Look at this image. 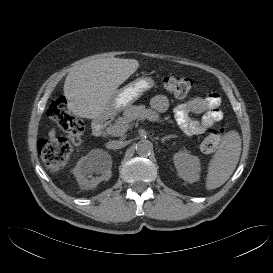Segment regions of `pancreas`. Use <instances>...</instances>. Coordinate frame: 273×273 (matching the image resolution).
Masks as SVG:
<instances>
[{
    "label": "pancreas",
    "instance_id": "obj_1",
    "mask_svg": "<svg viewBox=\"0 0 273 273\" xmlns=\"http://www.w3.org/2000/svg\"><path fill=\"white\" fill-rule=\"evenodd\" d=\"M136 119H148L153 122H161L159 114L152 109H147L144 105H131L124 111L123 117H119L111 127L116 129L121 126H127L129 128L130 123Z\"/></svg>",
    "mask_w": 273,
    "mask_h": 273
}]
</instances>
